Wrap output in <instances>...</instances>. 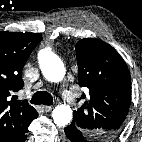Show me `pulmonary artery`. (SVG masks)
Returning a JSON list of instances; mask_svg holds the SVG:
<instances>
[{
  "mask_svg": "<svg viewBox=\"0 0 142 142\" xmlns=\"http://www.w3.org/2000/svg\"><path fill=\"white\" fill-rule=\"evenodd\" d=\"M61 95L65 102L70 103L73 101L72 96L69 94V92L66 89L62 90Z\"/></svg>",
  "mask_w": 142,
  "mask_h": 142,
  "instance_id": "obj_1",
  "label": "pulmonary artery"
}]
</instances>
